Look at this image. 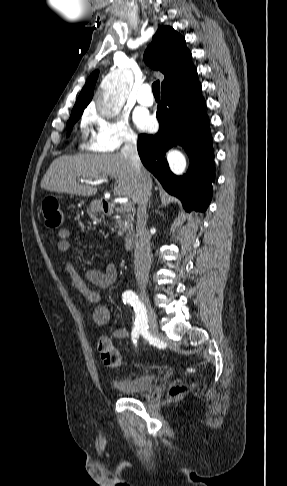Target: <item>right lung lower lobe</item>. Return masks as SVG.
Masks as SVG:
<instances>
[{
  "label": "right lung lower lobe",
  "instance_id": "98d812e1",
  "mask_svg": "<svg viewBox=\"0 0 287 486\" xmlns=\"http://www.w3.org/2000/svg\"><path fill=\"white\" fill-rule=\"evenodd\" d=\"M157 119L158 133L138 138L142 163L185 208L204 212L212 197L215 165L206 103L197 76L162 90ZM174 145L182 146L190 160L182 177L171 173L165 159L166 151Z\"/></svg>",
  "mask_w": 287,
  "mask_h": 486
}]
</instances>
